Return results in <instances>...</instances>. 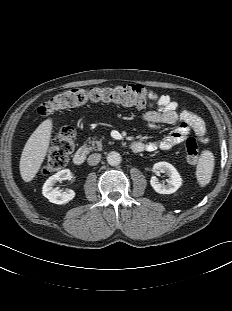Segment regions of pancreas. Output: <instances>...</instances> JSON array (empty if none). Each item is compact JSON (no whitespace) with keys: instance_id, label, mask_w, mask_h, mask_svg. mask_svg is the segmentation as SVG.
Returning a JSON list of instances; mask_svg holds the SVG:
<instances>
[{"instance_id":"obj_1","label":"pancreas","mask_w":232,"mask_h":311,"mask_svg":"<svg viewBox=\"0 0 232 311\" xmlns=\"http://www.w3.org/2000/svg\"><path fill=\"white\" fill-rule=\"evenodd\" d=\"M89 144H91V146H89V150H98L101 151L102 150V139L100 140H89Z\"/></svg>"}]
</instances>
